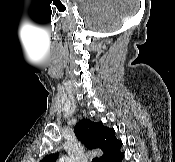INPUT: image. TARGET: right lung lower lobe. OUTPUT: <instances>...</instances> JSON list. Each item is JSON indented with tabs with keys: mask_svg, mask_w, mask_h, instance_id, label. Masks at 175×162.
Listing matches in <instances>:
<instances>
[{
	"mask_svg": "<svg viewBox=\"0 0 175 162\" xmlns=\"http://www.w3.org/2000/svg\"><path fill=\"white\" fill-rule=\"evenodd\" d=\"M123 157H124V154L119 151L108 162H121Z\"/></svg>",
	"mask_w": 175,
	"mask_h": 162,
	"instance_id": "98d812e1",
	"label": "right lung lower lobe"
}]
</instances>
